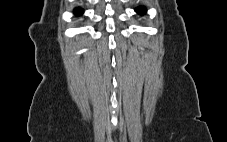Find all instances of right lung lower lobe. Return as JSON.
Listing matches in <instances>:
<instances>
[{
  "mask_svg": "<svg viewBox=\"0 0 227 142\" xmlns=\"http://www.w3.org/2000/svg\"><path fill=\"white\" fill-rule=\"evenodd\" d=\"M74 13H75L76 15H80V14L83 13V10L80 9V8H78L77 10H74Z\"/></svg>",
  "mask_w": 227,
  "mask_h": 142,
  "instance_id": "obj_1",
  "label": "right lung lower lobe"
}]
</instances>
